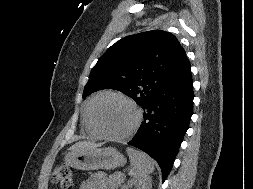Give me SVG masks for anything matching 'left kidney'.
Instances as JSON below:
<instances>
[{
	"label": "left kidney",
	"instance_id": "5707ae66",
	"mask_svg": "<svg viewBox=\"0 0 253 189\" xmlns=\"http://www.w3.org/2000/svg\"><path fill=\"white\" fill-rule=\"evenodd\" d=\"M150 177L135 178L129 180L121 189H151L152 182Z\"/></svg>",
	"mask_w": 253,
	"mask_h": 189
}]
</instances>
